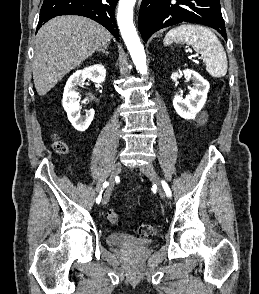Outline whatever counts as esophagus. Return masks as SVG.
Returning a JSON list of instances; mask_svg holds the SVG:
<instances>
[{
	"mask_svg": "<svg viewBox=\"0 0 259 294\" xmlns=\"http://www.w3.org/2000/svg\"><path fill=\"white\" fill-rule=\"evenodd\" d=\"M140 3H141V0L138 1V5H140Z\"/></svg>",
	"mask_w": 259,
	"mask_h": 294,
	"instance_id": "esophagus-1",
	"label": "esophagus"
}]
</instances>
